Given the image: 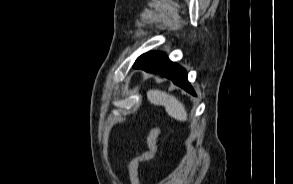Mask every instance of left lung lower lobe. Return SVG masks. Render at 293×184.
<instances>
[{"instance_id": "0a47b994", "label": "left lung lower lobe", "mask_w": 293, "mask_h": 184, "mask_svg": "<svg viewBox=\"0 0 293 184\" xmlns=\"http://www.w3.org/2000/svg\"><path fill=\"white\" fill-rule=\"evenodd\" d=\"M148 56L138 63L134 64L135 69H143L151 73H159L174 82L177 86L183 88L192 95H196L190 83L187 80L185 69L171 62L164 53L148 52Z\"/></svg>"}]
</instances>
